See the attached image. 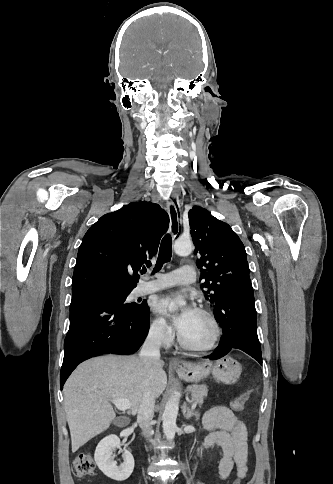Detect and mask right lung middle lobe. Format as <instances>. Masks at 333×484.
Returning <instances> with one entry per match:
<instances>
[{"label": "right lung middle lobe", "instance_id": "dd1d6c3e", "mask_svg": "<svg viewBox=\"0 0 333 484\" xmlns=\"http://www.w3.org/2000/svg\"><path fill=\"white\" fill-rule=\"evenodd\" d=\"M103 293L112 297L114 302L121 308L132 311L138 315H143L145 313L149 312V307L147 306L146 303L142 304H136V303H130L126 304L124 303L126 297L129 295L130 291H113V290H103Z\"/></svg>", "mask_w": 333, "mask_h": 484}]
</instances>
